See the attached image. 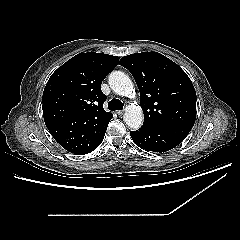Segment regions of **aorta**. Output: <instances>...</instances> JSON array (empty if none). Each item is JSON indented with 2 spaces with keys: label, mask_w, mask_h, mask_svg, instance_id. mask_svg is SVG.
Returning <instances> with one entry per match:
<instances>
[{
  "label": "aorta",
  "mask_w": 240,
  "mask_h": 240,
  "mask_svg": "<svg viewBox=\"0 0 240 240\" xmlns=\"http://www.w3.org/2000/svg\"><path fill=\"white\" fill-rule=\"evenodd\" d=\"M111 89L120 96H129L134 91L133 82L121 71H113L109 75ZM143 111L140 106L128 105L124 113V122L132 130H137L143 123Z\"/></svg>",
  "instance_id": "aorta-1"
}]
</instances>
